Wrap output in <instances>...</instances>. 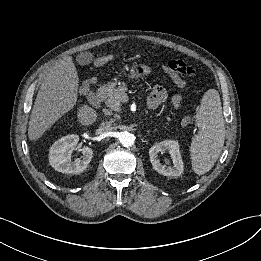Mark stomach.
Segmentation results:
<instances>
[{"label": "stomach", "instance_id": "obj_1", "mask_svg": "<svg viewBox=\"0 0 261 261\" xmlns=\"http://www.w3.org/2000/svg\"><path fill=\"white\" fill-rule=\"evenodd\" d=\"M151 73H152V68L148 65H144V64L133 65L132 68L130 69L128 78L139 79L148 76Z\"/></svg>", "mask_w": 261, "mask_h": 261}]
</instances>
